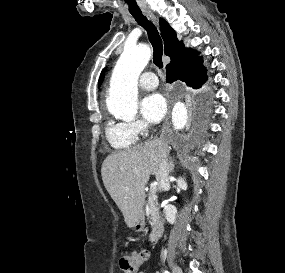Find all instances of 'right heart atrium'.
<instances>
[{"label": "right heart atrium", "instance_id": "1", "mask_svg": "<svg viewBox=\"0 0 285 273\" xmlns=\"http://www.w3.org/2000/svg\"><path fill=\"white\" fill-rule=\"evenodd\" d=\"M126 124L129 131L136 137L142 135L147 129L146 123L142 120H134Z\"/></svg>", "mask_w": 285, "mask_h": 273}]
</instances>
